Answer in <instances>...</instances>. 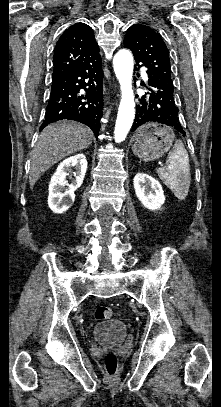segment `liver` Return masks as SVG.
<instances>
[{
  "label": "liver",
  "instance_id": "liver-1",
  "mask_svg": "<svg viewBox=\"0 0 221 407\" xmlns=\"http://www.w3.org/2000/svg\"><path fill=\"white\" fill-rule=\"evenodd\" d=\"M92 138L88 127L72 121H60L44 128L31 154L30 188L54 164L87 148Z\"/></svg>",
  "mask_w": 221,
  "mask_h": 407
}]
</instances>
